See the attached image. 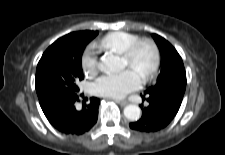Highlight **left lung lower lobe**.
I'll return each mask as SVG.
<instances>
[{
	"label": "left lung lower lobe",
	"mask_w": 225,
	"mask_h": 155,
	"mask_svg": "<svg viewBox=\"0 0 225 155\" xmlns=\"http://www.w3.org/2000/svg\"><path fill=\"white\" fill-rule=\"evenodd\" d=\"M147 97L149 106L145 108L141 106V119L130 123L129 126L141 132H156L165 128L174 119L180 108L183 94H154Z\"/></svg>",
	"instance_id": "obj_1"
}]
</instances>
